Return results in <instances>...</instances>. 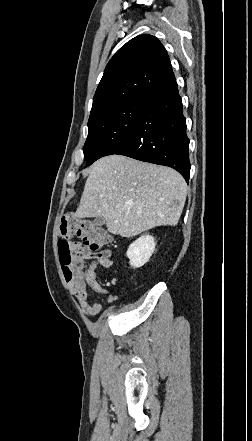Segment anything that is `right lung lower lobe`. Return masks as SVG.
Returning a JSON list of instances; mask_svg holds the SVG:
<instances>
[{
    "label": "right lung lower lobe",
    "mask_w": 252,
    "mask_h": 441,
    "mask_svg": "<svg viewBox=\"0 0 252 441\" xmlns=\"http://www.w3.org/2000/svg\"><path fill=\"white\" fill-rule=\"evenodd\" d=\"M143 99L145 106L137 123L105 156L118 154L169 166L188 182L189 139L175 77Z\"/></svg>",
    "instance_id": "98d812e1"
}]
</instances>
